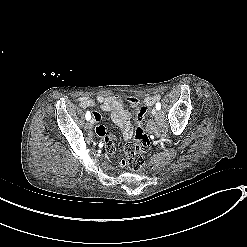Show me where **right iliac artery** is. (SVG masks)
<instances>
[{"instance_id":"1","label":"right iliac artery","mask_w":247,"mask_h":247,"mask_svg":"<svg viewBox=\"0 0 247 247\" xmlns=\"http://www.w3.org/2000/svg\"><path fill=\"white\" fill-rule=\"evenodd\" d=\"M85 117H86V120H90L91 119V114H90L89 111L86 112Z\"/></svg>"}]
</instances>
